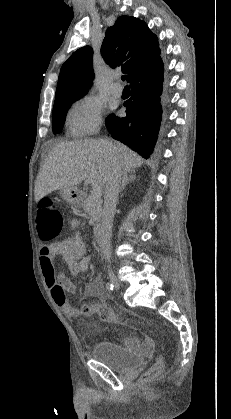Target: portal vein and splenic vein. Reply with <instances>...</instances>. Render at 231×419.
<instances>
[{
  "label": "portal vein and splenic vein",
  "mask_w": 231,
  "mask_h": 419,
  "mask_svg": "<svg viewBox=\"0 0 231 419\" xmlns=\"http://www.w3.org/2000/svg\"><path fill=\"white\" fill-rule=\"evenodd\" d=\"M91 195L95 198H100L102 195V188L99 185H94L91 191Z\"/></svg>",
  "instance_id": "obj_1"
}]
</instances>
